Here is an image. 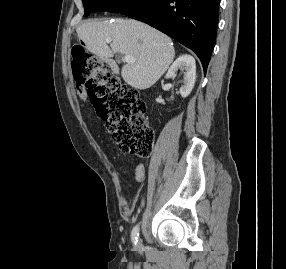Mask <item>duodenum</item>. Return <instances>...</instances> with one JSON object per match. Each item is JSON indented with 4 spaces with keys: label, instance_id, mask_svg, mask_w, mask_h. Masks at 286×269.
I'll return each mask as SVG.
<instances>
[{
    "label": "duodenum",
    "instance_id": "410a0bca",
    "mask_svg": "<svg viewBox=\"0 0 286 269\" xmlns=\"http://www.w3.org/2000/svg\"><path fill=\"white\" fill-rule=\"evenodd\" d=\"M111 67H112V69H114V70H115V65L111 64Z\"/></svg>",
    "mask_w": 286,
    "mask_h": 269
}]
</instances>
